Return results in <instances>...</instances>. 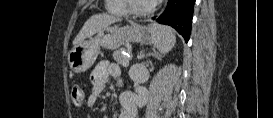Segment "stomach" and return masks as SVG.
<instances>
[{
  "label": "stomach",
  "instance_id": "1",
  "mask_svg": "<svg viewBox=\"0 0 273 118\" xmlns=\"http://www.w3.org/2000/svg\"><path fill=\"white\" fill-rule=\"evenodd\" d=\"M151 41L152 38L146 33V29L139 25L107 26L98 31L94 37L75 45L68 53V64L73 72L82 73L94 64L100 47L113 50L126 43H150Z\"/></svg>",
  "mask_w": 273,
  "mask_h": 118
}]
</instances>
